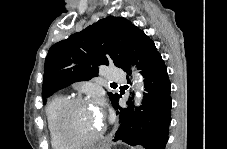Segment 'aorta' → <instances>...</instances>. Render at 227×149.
<instances>
[{
	"instance_id": "obj_1",
	"label": "aorta",
	"mask_w": 227,
	"mask_h": 149,
	"mask_svg": "<svg viewBox=\"0 0 227 149\" xmlns=\"http://www.w3.org/2000/svg\"><path fill=\"white\" fill-rule=\"evenodd\" d=\"M133 77H134V84H135V89H136V99L135 102L136 104H140L142 101V92L144 89V84H143V80L141 77L138 76V74H136V72H134L133 69Z\"/></svg>"
}]
</instances>
